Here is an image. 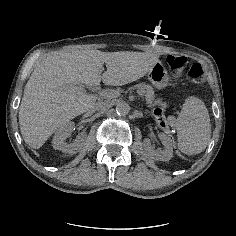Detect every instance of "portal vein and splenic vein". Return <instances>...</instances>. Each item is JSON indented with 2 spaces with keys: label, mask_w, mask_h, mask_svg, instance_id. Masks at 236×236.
I'll return each mask as SVG.
<instances>
[{
  "label": "portal vein and splenic vein",
  "mask_w": 236,
  "mask_h": 236,
  "mask_svg": "<svg viewBox=\"0 0 236 236\" xmlns=\"http://www.w3.org/2000/svg\"><path fill=\"white\" fill-rule=\"evenodd\" d=\"M78 88L81 90V91H85V86L83 84H79L78 85ZM100 95L101 96H104V92H100Z\"/></svg>",
  "instance_id": "portal-vein-and-splenic-vein-1"
}]
</instances>
